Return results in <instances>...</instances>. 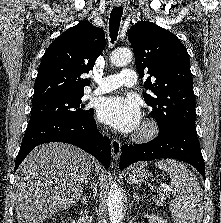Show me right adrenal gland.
I'll use <instances>...</instances> for the list:
<instances>
[{
    "label": "right adrenal gland",
    "mask_w": 221,
    "mask_h": 223,
    "mask_svg": "<svg viewBox=\"0 0 221 223\" xmlns=\"http://www.w3.org/2000/svg\"><path fill=\"white\" fill-rule=\"evenodd\" d=\"M92 187V191L94 193L93 197L95 196V193H96V187H95V184H92L91 185ZM91 198V193H90V197H88L86 194L82 196V204L83 205H86L88 202H89V199Z\"/></svg>",
    "instance_id": "1"
}]
</instances>
